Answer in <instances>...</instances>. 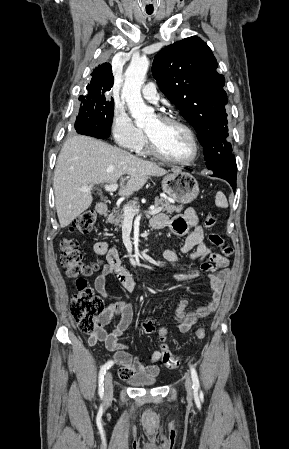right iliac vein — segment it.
<instances>
[{"label": "right iliac vein", "mask_w": 289, "mask_h": 449, "mask_svg": "<svg viewBox=\"0 0 289 449\" xmlns=\"http://www.w3.org/2000/svg\"><path fill=\"white\" fill-rule=\"evenodd\" d=\"M112 374L111 372H107L105 376V393H104V401L109 402L113 396V383H112Z\"/></svg>", "instance_id": "1"}]
</instances>
